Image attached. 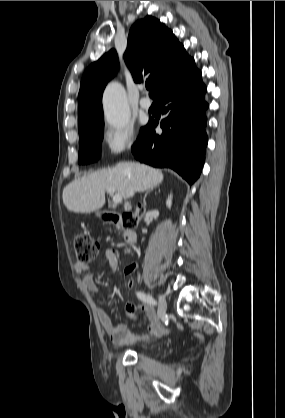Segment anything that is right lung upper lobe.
Wrapping results in <instances>:
<instances>
[{"label": "right lung upper lobe", "instance_id": "1", "mask_svg": "<svg viewBox=\"0 0 285 418\" xmlns=\"http://www.w3.org/2000/svg\"><path fill=\"white\" fill-rule=\"evenodd\" d=\"M124 60L136 83H153L150 96L154 99L197 69L172 31L151 16L132 25ZM118 67L117 53L112 49L86 69L78 94V125L103 116L102 93Z\"/></svg>", "mask_w": 285, "mask_h": 418}]
</instances>
